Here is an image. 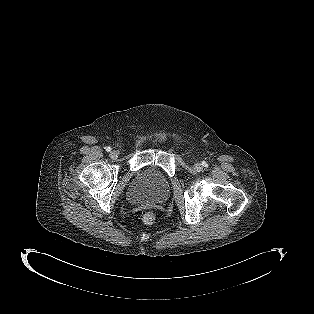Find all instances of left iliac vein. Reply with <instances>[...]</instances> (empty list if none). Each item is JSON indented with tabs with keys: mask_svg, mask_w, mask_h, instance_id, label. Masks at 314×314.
I'll return each instance as SVG.
<instances>
[{
	"mask_svg": "<svg viewBox=\"0 0 314 314\" xmlns=\"http://www.w3.org/2000/svg\"><path fill=\"white\" fill-rule=\"evenodd\" d=\"M194 169H195L196 171H201V170H202V165H201L200 163H196V164L194 165Z\"/></svg>",
	"mask_w": 314,
	"mask_h": 314,
	"instance_id": "obj_1",
	"label": "left iliac vein"
}]
</instances>
